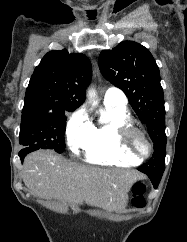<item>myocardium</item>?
<instances>
[{
    "instance_id": "f54148a6",
    "label": "myocardium",
    "mask_w": 187,
    "mask_h": 242,
    "mask_svg": "<svg viewBox=\"0 0 187 242\" xmlns=\"http://www.w3.org/2000/svg\"><path fill=\"white\" fill-rule=\"evenodd\" d=\"M134 135H139L145 140L148 146V151L145 155H138L131 148L130 139ZM116 140L119 148L125 155L136 158L139 162L147 159L153 150L152 143L146 133L141 128L135 126L133 123H124L120 125L116 130Z\"/></svg>"
}]
</instances>
